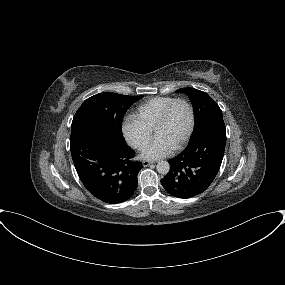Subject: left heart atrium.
<instances>
[{
	"label": "left heart atrium",
	"instance_id": "left-heart-atrium-1",
	"mask_svg": "<svg viewBox=\"0 0 285 285\" xmlns=\"http://www.w3.org/2000/svg\"><path fill=\"white\" fill-rule=\"evenodd\" d=\"M173 148L164 138L155 136L151 143L144 149L141 156L147 160H155L168 155Z\"/></svg>",
	"mask_w": 285,
	"mask_h": 285
}]
</instances>
